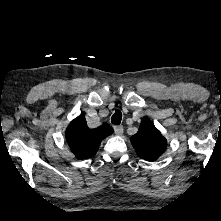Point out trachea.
<instances>
[{
	"mask_svg": "<svg viewBox=\"0 0 221 221\" xmlns=\"http://www.w3.org/2000/svg\"><path fill=\"white\" fill-rule=\"evenodd\" d=\"M122 113L120 110H116L115 113L111 117V122L113 124L119 125L121 123Z\"/></svg>",
	"mask_w": 221,
	"mask_h": 221,
	"instance_id": "obj_1",
	"label": "trachea"
}]
</instances>
